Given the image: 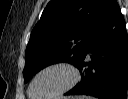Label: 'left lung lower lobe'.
I'll list each match as a JSON object with an SVG mask.
<instances>
[{
	"label": "left lung lower lobe",
	"mask_w": 128,
	"mask_h": 99,
	"mask_svg": "<svg viewBox=\"0 0 128 99\" xmlns=\"http://www.w3.org/2000/svg\"><path fill=\"white\" fill-rule=\"evenodd\" d=\"M75 66L81 71V81L65 95L127 99L128 36L116 0H108L86 51Z\"/></svg>",
	"instance_id": "1"
}]
</instances>
